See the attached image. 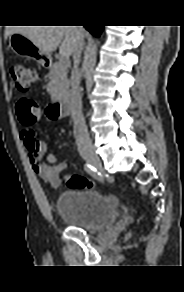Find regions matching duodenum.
Instances as JSON below:
<instances>
[{"label":"duodenum","instance_id":"duodenum-1","mask_svg":"<svg viewBox=\"0 0 184 292\" xmlns=\"http://www.w3.org/2000/svg\"><path fill=\"white\" fill-rule=\"evenodd\" d=\"M49 115L52 118L65 117L69 113V101L66 98L55 100L48 107Z\"/></svg>","mask_w":184,"mask_h":292}]
</instances>
